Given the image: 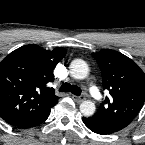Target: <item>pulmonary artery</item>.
I'll use <instances>...</instances> for the list:
<instances>
[{"label":"pulmonary artery","instance_id":"pulmonary-artery-1","mask_svg":"<svg viewBox=\"0 0 145 145\" xmlns=\"http://www.w3.org/2000/svg\"><path fill=\"white\" fill-rule=\"evenodd\" d=\"M90 91L96 93V95H95L96 99H100L101 98V95L96 91L94 86L90 87Z\"/></svg>","mask_w":145,"mask_h":145}]
</instances>
